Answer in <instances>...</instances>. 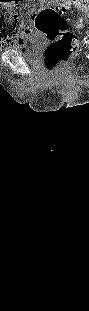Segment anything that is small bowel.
Returning a JSON list of instances; mask_svg holds the SVG:
<instances>
[{
  "instance_id": "obj_1",
  "label": "small bowel",
  "mask_w": 89,
  "mask_h": 311,
  "mask_svg": "<svg viewBox=\"0 0 89 311\" xmlns=\"http://www.w3.org/2000/svg\"><path fill=\"white\" fill-rule=\"evenodd\" d=\"M27 30L28 29H26L23 24H21L17 30L9 32L8 37L11 39L12 42L20 43L26 38L27 34L29 33V31Z\"/></svg>"
}]
</instances>
